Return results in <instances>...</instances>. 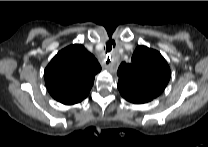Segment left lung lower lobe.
<instances>
[{"label":"left lung lower lobe","mask_w":208,"mask_h":147,"mask_svg":"<svg viewBox=\"0 0 208 147\" xmlns=\"http://www.w3.org/2000/svg\"><path fill=\"white\" fill-rule=\"evenodd\" d=\"M118 89H119L121 95L127 101L132 102V103L143 104V103H146V102H149V101L152 100V98H150L146 95L134 92V91L125 90V89H122V88H118Z\"/></svg>","instance_id":"1"}]
</instances>
